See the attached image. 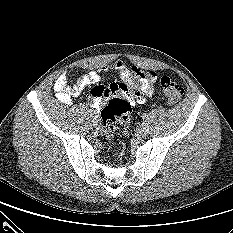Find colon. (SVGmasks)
Instances as JSON below:
<instances>
[{"mask_svg":"<svg viewBox=\"0 0 233 233\" xmlns=\"http://www.w3.org/2000/svg\"><path fill=\"white\" fill-rule=\"evenodd\" d=\"M147 74L136 67L130 69L131 86L130 92L138 95L142 82L146 79ZM160 86L163 93L171 104L178 103L183 95V88L167 76L160 79ZM131 104L125 96H114L101 111V135L106 141L113 138L115 123H127ZM111 151L115 150L114 146L110 147Z\"/></svg>","mask_w":233,"mask_h":233,"instance_id":"1","label":"colon"}]
</instances>
